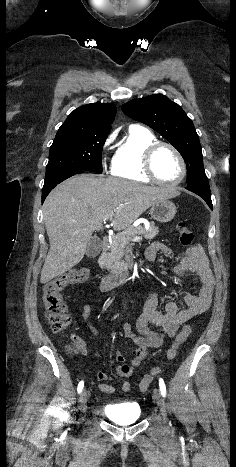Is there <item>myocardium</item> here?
<instances>
[{
	"mask_svg": "<svg viewBox=\"0 0 236 467\" xmlns=\"http://www.w3.org/2000/svg\"><path fill=\"white\" fill-rule=\"evenodd\" d=\"M164 147L170 149L177 156V158H178V160L180 162V165H181V175H180L179 179L174 181V182H166V181L161 180L157 176V174L155 172V169H154L155 155H156V153L158 152L159 149L164 148ZM143 168H144V172L146 173V175L152 181H154L157 184L164 185V186H177V185L181 184L184 181V179L186 177V174H187L186 162H185V159H184L183 155L181 154V152L174 145H172L171 143L163 142V141H156V142L150 144L145 149V151H144V160H143Z\"/></svg>",
	"mask_w": 236,
	"mask_h": 467,
	"instance_id": "f54148a6",
	"label": "myocardium"
}]
</instances>
